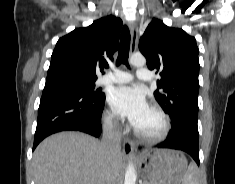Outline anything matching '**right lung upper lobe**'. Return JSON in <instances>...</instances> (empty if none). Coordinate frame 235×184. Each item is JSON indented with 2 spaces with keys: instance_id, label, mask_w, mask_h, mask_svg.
<instances>
[{
  "instance_id": "cb5924a9",
  "label": "right lung upper lobe",
  "mask_w": 235,
  "mask_h": 184,
  "mask_svg": "<svg viewBox=\"0 0 235 184\" xmlns=\"http://www.w3.org/2000/svg\"><path fill=\"white\" fill-rule=\"evenodd\" d=\"M121 26V19L110 15L60 38L51 56L45 85L66 77L96 81V69L109 67L107 61L113 60Z\"/></svg>"
}]
</instances>
